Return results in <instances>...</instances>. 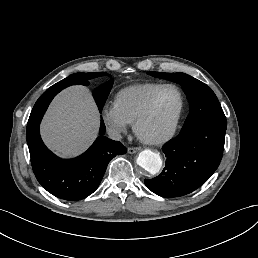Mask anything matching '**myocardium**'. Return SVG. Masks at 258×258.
Listing matches in <instances>:
<instances>
[{"mask_svg": "<svg viewBox=\"0 0 258 258\" xmlns=\"http://www.w3.org/2000/svg\"><path fill=\"white\" fill-rule=\"evenodd\" d=\"M166 88L173 89L177 93V96H178V111H177L175 121H174L171 129L167 133H165L164 135L159 136V137H155V138L148 137V136L141 133L140 123L148 115L155 96L158 94V92H160L161 90L166 89ZM182 109H183V99H182V95H181L180 91L178 90V88L175 87L172 84L160 85L148 97L143 109L140 111V113L136 117V119L134 121V132H135V134L137 135V137L140 140H142L146 143H150V144H161V143H164V142L170 140L174 136V134L177 130V127H178V124H179V121H180V117H181V113H182Z\"/></svg>", "mask_w": 258, "mask_h": 258, "instance_id": "1", "label": "myocardium"}]
</instances>
